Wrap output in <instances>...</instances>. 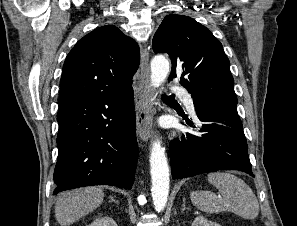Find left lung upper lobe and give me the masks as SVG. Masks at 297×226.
<instances>
[{"instance_id": "obj_1", "label": "left lung upper lobe", "mask_w": 297, "mask_h": 226, "mask_svg": "<svg viewBox=\"0 0 297 226\" xmlns=\"http://www.w3.org/2000/svg\"><path fill=\"white\" fill-rule=\"evenodd\" d=\"M155 53H168L172 60L169 80L179 76L195 107L210 104L237 105L234 79L222 44L194 19L168 15L152 42Z\"/></svg>"}]
</instances>
